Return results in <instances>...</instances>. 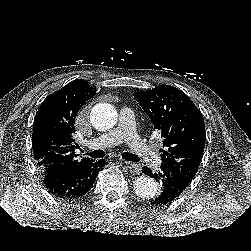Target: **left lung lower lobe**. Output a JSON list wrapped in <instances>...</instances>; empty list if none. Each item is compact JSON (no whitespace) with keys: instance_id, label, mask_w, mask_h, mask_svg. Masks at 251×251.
I'll return each instance as SVG.
<instances>
[{"instance_id":"left-lung-lower-lobe-1","label":"left lung lower lobe","mask_w":251,"mask_h":251,"mask_svg":"<svg viewBox=\"0 0 251 251\" xmlns=\"http://www.w3.org/2000/svg\"><path fill=\"white\" fill-rule=\"evenodd\" d=\"M142 172L154 177L157 181L160 180L163 184L162 190L151 201L157 205L168 203L176 198L191 182L181 173L163 164L157 173H153L147 166L143 167Z\"/></svg>"}]
</instances>
